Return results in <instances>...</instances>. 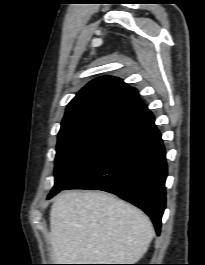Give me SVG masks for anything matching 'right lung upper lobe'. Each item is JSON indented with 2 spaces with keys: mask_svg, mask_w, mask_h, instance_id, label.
<instances>
[{
  "mask_svg": "<svg viewBox=\"0 0 205 265\" xmlns=\"http://www.w3.org/2000/svg\"><path fill=\"white\" fill-rule=\"evenodd\" d=\"M148 112L135 88L104 76L89 82L66 108L59 134L96 124L127 126Z\"/></svg>",
  "mask_w": 205,
  "mask_h": 265,
  "instance_id": "1",
  "label": "right lung upper lobe"
}]
</instances>
